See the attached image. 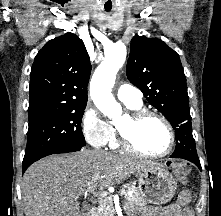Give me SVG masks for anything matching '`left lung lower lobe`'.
<instances>
[{
    "label": "left lung lower lobe",
    "mask_w": 221,
    "mask_h": 216,
    "mask_svg": "<svg viewBox=\"0 0 221 216\" xmlns=\"http://www.w3.org/2000/svg\"><path fill=\"white\" fill-rule=\"evenodd\" d=\"M171 158H182L194 163L200 170L201 165L197 155V152L193 150L191 147L182 145L180 143L176 144V148L173 154L170 156Z\"/></svg>",
    "instance_id": "left-lung-lower-lobe-1"
}]
</instances>
